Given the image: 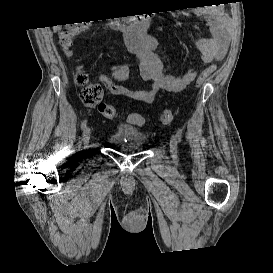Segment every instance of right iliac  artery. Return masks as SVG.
Wrapping results in <instances>:
<instances>
[{
  "label": "right iliac artery",
  "mask_w": 273,
  "mask_h": 273,
  "mask_svg": "<svg viewBox=\"0 0 273 273\" xmlns=\"http://www.w3.org/2000/svg\"><path fill=\"white\" fill-rule=\"evenodd\" d=\"M86 125H87V120H83L81 122V129L84 130L86 128Z\"/></svg>",
  "instance_id": "1"
}]
</instances>
